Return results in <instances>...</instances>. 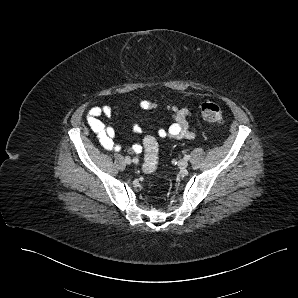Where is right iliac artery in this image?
<instances>
[{"mask_svg":"<svg viewBox=\"0 0 298 298\" xmlns=\"http://www.w3.org/2000/svg\"><path fill=\"white\" fill-rule=\"evenodd\" d=\"M132 161H133L134 163H138L139 160H138L137 157H134Z\"/></svg>","mask_w":298,"mask_h":298,"instance_id":"right-iliac-artery-1","label":"right iliac artery"}]
</instances>
